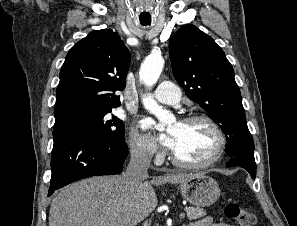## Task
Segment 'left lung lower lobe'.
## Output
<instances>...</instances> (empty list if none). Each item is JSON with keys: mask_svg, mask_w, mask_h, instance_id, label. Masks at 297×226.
I'll list each match as a JSON object with an SVG mask.
<instances>
[{"mask_svg": "<svg viewBox=\"0 0 297 226\" xmlns=\"http://www.w3.org/2000/svg\"><path fill=\"white\" fill-rule=\"evenodd\" d=\"M227 166H240L246 169L253 179L256 177V163L254 157L231 158Z\"/></svg>", "mask_w": 297, "mask_h": 226, "instance_id": "left-lung-lower-lobe-1", "label": "left lung lower lobe"}]
</instances>
